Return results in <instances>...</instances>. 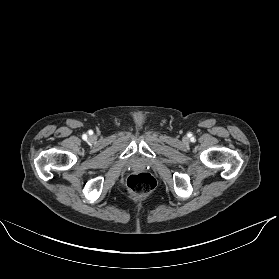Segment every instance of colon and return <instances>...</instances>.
<instances>
[{"label": "colon", "instance_id": "obj_1", "mask_svg": "<svg viewBox=\"0 0 279 279\" xmlns=\"http://www.w3.org/2000/svg\"><path fill=\"white\" fill-rule=\"evenodd\" d=\"M155 186V179L148 173L131 175L126 184L128 192L141 197L150 194Z\"/></svg>", "mask_w": 279, "mask_h": 279}]
</instances>
